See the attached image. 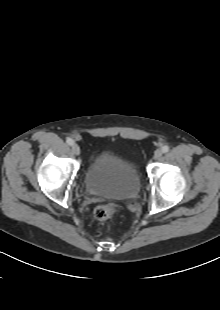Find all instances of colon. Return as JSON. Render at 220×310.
<instances>
[{
    "label": "colon",
    "mask_w": 220,
    "mask_h": 310,
    "mask_svg": "<svg viewBox=\"0 0 220 310\" xmlns=\"http://www.w3.org/2000/svg\"><path fill=\"white\" fill-rule=\"evenodd\" d=\"M116 214V206L114 204L99 205L94 210V216L98 220H108Z\"/></svg>",
    "instance_id": "5ec220e1"
}]
</instances>
